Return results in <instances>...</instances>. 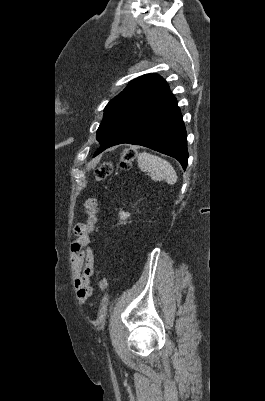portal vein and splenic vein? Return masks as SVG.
Returning <instances> with one entry per match:
<instances>
[{"mask_svg": "<svg viewBox=\"0 0 265 401\" xmlns=\"http://www.w3.org/2000/svg\"><path fill=\"white\" fill-rule=\"evenodd\" d=\"M147 175H150V172H147Z\"/></svg>", "mask_w": 265, "mask_h": 401, "instance_id": "obj_1", "label": "portal vein and splenic vein"}]
</instances>
